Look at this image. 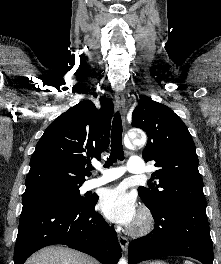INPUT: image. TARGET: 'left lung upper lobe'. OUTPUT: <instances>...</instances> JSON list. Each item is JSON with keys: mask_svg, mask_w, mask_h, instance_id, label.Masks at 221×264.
<instances>
[{"mask_svg": "<svg viewBox=\"0 0 221 264\" xmlns=\"http://www.w3.org/2000/svg\"><path fill=\"white\" fill-rule=\"evenodd\" d=\"M132 126L147 133L142 156L157 167L152 174L155 185L138 188L144 204L150 210L168 205L206 207L195 144L179 116L161 103L141 98L132 114Z\"/></svg>", "mask_w": 221, "mask_h": 264, "instance_id": "5c2ea615", "label": "left lung upper lobe"}]
</instances>
